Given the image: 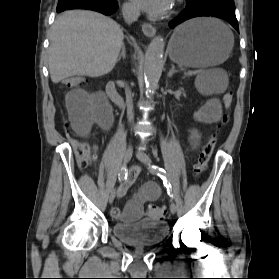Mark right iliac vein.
Instances as JSON below:
<instances>
[{"instance_id": "1", "label": "right iliac vein", "mask_w": 279, "mask_h": 279, "mask_svg": "<svg viewBox=\"0 0 279 279\" xmlns=\"http://www.w3.org/2000/svg\"><path fill=\"white\" fill-rule=\"evenodd\" d=\"M132 154H133V150L131 148H129L126 151V154L124 157V166L131 160ZM122 189H123V187L120 188V191H122ZM116 195H117V190H116V188H113L109 195V203H112L114 201Z\"/></svg>"}]
</instances>
